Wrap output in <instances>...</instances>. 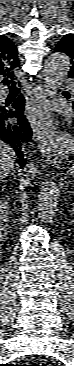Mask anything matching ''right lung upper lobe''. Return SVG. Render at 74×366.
<instances>
[{"label":"right lung upper lobe","mask_w":74,"mask_h":366,"mask_svg":"<svg viewBox=\"0 0 74 366\" xmlns=\"http://www.w3.org/2000/svg\"><path fill=\"white\" fill-rule=\"evenodd\" d=\"M19 65L16 47L8 37L0 35V83L9 84L8 79L14 77L13 70Z\"/></svg>","instance_id":"1"}]
</instances>
